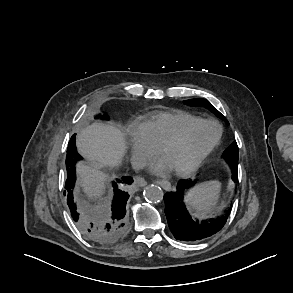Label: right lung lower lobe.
I'll use <instances>...</instances> for the list:
<instances>
[{
	"instance_id": "98d812e1",
	"label": "right lung lower lobe",
	"mask_w": 293,
	"mask_h": 293,
	"mask_svg": "<svg viewBox=\"0 0 293 293\" xmlns=\"http://www.w3.org/2000/svg\"><path fill=\"white\" fill-rule=\"evenodd\" d=\"M81 157L76 151L75 134L71 137L66 157L67 180L65 183L64 195L67 197L71 216L79 229L92 241L102 244H112L119 241L127 230L126 202L129 195L122 189L119 183L130 184L131 177H123L113 182L114 198L111 205V212L106 213L100 210H78L73 198L75 185V163Z\"/></svg>"
}]
</instances>
